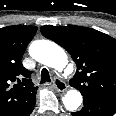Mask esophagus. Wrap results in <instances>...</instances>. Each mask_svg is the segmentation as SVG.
Instances as JSON below:
<instances>
[{"mask_svg": "<svg viewBox=\"0 0 116 116\" xmlns=\"http://www.w3.org/2000/svg\"><path fill=\"white\" fill-rule=\"evenodd\" d=\"M53 86L58 92H64L67 89L66 83L59 78L53 80Z\"/></svg>", "mask_w": 116, "mask_h": 116, "instance_id": "1", "label": "esophagus"}]
</instances>
